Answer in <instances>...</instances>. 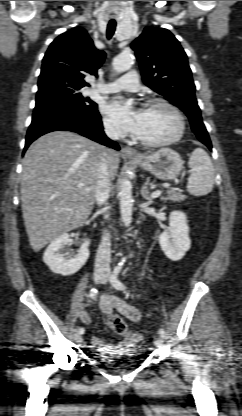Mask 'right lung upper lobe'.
Instances as JSON below:
<instances>
[{
  "instance_id": "obj_1",
  "label": "right lung upper lobe",
  "mask_w": 242,
  "mask_h": 416,
  "mask_svg": "<svg viewBox=\"0 0 242 416\" xmlns=\"http://www.w3.org/2000/svg\"><path fill=\"white\" fill-rule=\"evenodd\" d=\"M104 58V51L95 48L85 29L76 27L61 34L50 44L43 58L37 96L61 88L88 86L84 77L97 75Z\"/></svg>"
}]
</instances>
